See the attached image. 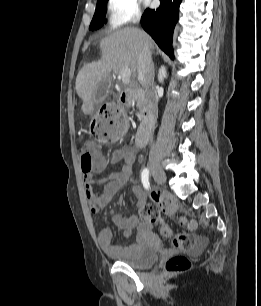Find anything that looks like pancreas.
I'll return each mask as SVG.
<instances>
[{
	"label": "pancreas",
	"instance_id": "cf45deb5",
	"mask_svg": "<svg viewBox=\"0 0 261 306\" xmlns=\"http://www.w3.org/2000/svg\"><path fill=\"white\" fill-rule=\"evenodd\" d=\"M137 108L139 111L136 113V116L138 117V120H141L143 118V112H144V105L142 101H138Z\"/></svg>",
	"mask_w": 261,
	"mask_h": 306
}]
</instances>
